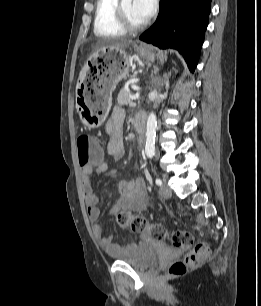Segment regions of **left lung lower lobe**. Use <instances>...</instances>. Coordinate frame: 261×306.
<instances>
[{
  "label": "left lung lower lobe",
  "instance_id": "1",
  "mask_svg": "<svg viewBox=\"0 0 261 306\" xmlns=\"http://www.w3.org/2000/svg\"><path fill=\"white\" fill-rule=\"evenodd\" d=\"M210 10L211 0H162L157 20L140 39L161 49H177L193 72Z\"/></svg>",
  "mask_w": 261,
  "mask_h": 306
}]
</instances>
